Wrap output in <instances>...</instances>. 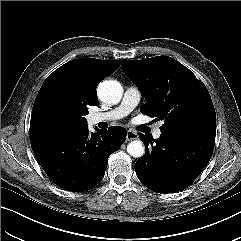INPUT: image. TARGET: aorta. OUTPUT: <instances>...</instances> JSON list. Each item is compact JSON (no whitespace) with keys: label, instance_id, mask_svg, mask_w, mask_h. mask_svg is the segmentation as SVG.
I'll return each instance as SVG.
<instances>
[{"label":"aorta","instance_id":"762f6f07","mask_svg":"<svg viewBox=\"0 0 241 241\" xmlns=\"http://www.w3.org/2000/svg\"><path fill=\"white\" fill-rule=\"evenodd\" d=\"M122 86L114 80H106L99 84L98 95L100 99L108 104H116L122 97ZM127 152L134 158H140L145 153V147L140 140H134L127 145Z\"/></svg>","mask_w":241,"mask_h":241}]
</instances>
